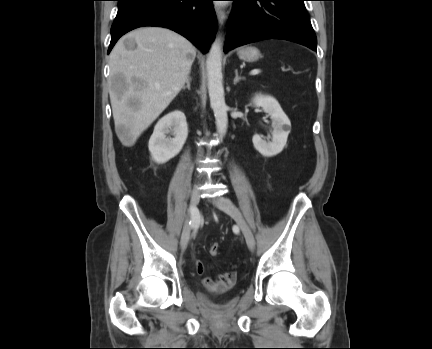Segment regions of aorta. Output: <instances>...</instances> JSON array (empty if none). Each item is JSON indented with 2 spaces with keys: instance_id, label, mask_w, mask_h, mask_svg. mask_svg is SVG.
I'll return each instance as SVG.
<instances>
[{
  "instance_id": "1",
  "label": "aorta",
  "mask_w": 432,
  "mask_h": 349,
  "mask_svg": "<svg viewBox=\"0 0 432 349\" xmlns=\"http://www.w3.org/2000/svg\"><path fill=\"white\" fill-rule=\"evenodd\" d=\"M206 70L210 105L214 112L217 132L222 137L226 133L228 126V108L224 97L222 43L220 38H216L211 45L206 60Z\"/></svg>"
}]
</instances>
